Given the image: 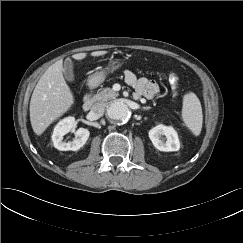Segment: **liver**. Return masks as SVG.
Listing matches in <instances>:
<instances>
[{
	"label": "liver",
	"instance_id": "1",
	"mask_svg": "<svg viewBox=\"0 0 243 243\" xmlns=\"http://www.w3.org/2000/svg\"><path fill=\"white\" fill-rule=\"evenodd\" d=\"M107 51H94L91 56H103ZM82 60L86 53L72 56ZM63 60L52 64L39 79L30 100V122L34 133L38 136L65 114L74 104V96L63 76Z\"/></svg>",
	"mask_w": 243,
	"mask_h": 243
}]
</instances>
